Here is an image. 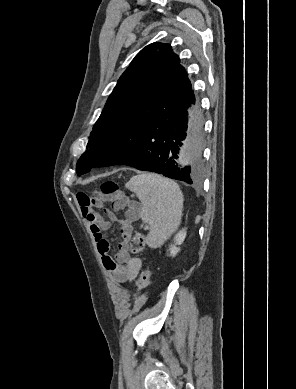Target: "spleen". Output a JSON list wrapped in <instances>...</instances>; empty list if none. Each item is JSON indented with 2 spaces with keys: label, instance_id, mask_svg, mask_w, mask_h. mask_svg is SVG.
<instances>
[{
  "label": "spleen",
  "instance_id": "spleen-1",
  "mask_svg": "<svg viewBox=\"0 0 296 389\" xmlns=\"http://www.w3.org/2000/svg\"><path fill=\"white\" fill-rule=\"evenodd\" d=\"M125 187L141 201L140 218L149 225L147 245L160 247L181 223L184 197L178 184L158 174L143 173L133 176Z\"/></svg>",
  "mask_w": 296,
  "mask_h": 389
}]
</instances>
